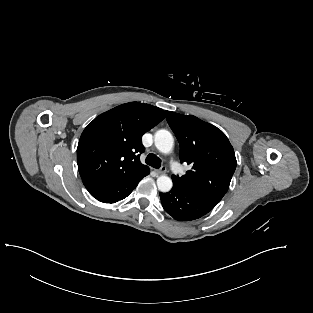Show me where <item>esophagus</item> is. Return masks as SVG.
<instances>
[{
	"label": "esophagus",
	"instance_id": "esophagus-1",
	"mask_svg": "<svg viewBox=\"0 0 313 313\" xmlns=\"http://www.w3.org/2000/svg\"><path fill=\"white\" fill-rule=\"evenodd\" d=\"M156 173L158 175H163L166 173V168L165 167H161L160 169L156 170Z\"/></svg>",
	"mask_w": 313,
	"mask_h": 313
}]
</instances>
